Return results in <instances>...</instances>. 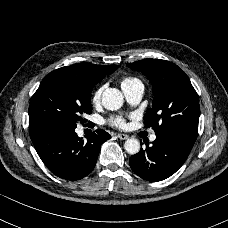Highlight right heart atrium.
Returning a JSON list of instances; mask_svg holds the SVG:
<instances>
[{
  "label": "right heart atrium",
  "mask_w": 228,
  "mask_h": 228,
  "mask_svg": "<svg viewBox=\"0 0 228 228\" xmlns=\"http://www.w3.org/2000/svg\"><path fill=\"white\" fill-rule=\"evenodd\" d=\"M104 88H105V85H101L100 87H98L95 90V92L93 93V96H92L93 102H97L100 100Z\"/></svg>",
  "instance_id": "1"
}]
</instances>
